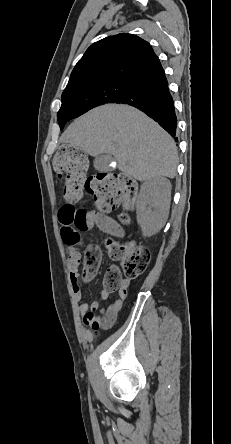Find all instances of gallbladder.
I'll use <instances>...</instances> for the list:
<instances>
[{"mask_svg":"<svg viewBox=\"0 0 231 444\" xmlns=\"http://www.w3.org/2000/svg\"><path fill=\"white\" fill-rule=\"evenodd\" d=\"M111 158L109 155H99L94 160V167L98 171H109L112 170V168L109 166V163L111 162Z\"/></svg>","mask_w":231,"mask_h":444,"instance_id":"bac80fb5","label":"gallbladder"}]
</instances>
